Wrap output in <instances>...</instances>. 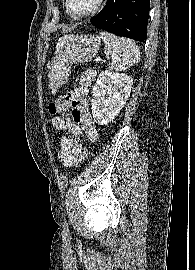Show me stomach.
<instances>
[{
  "instance_id": "1",
  "label": "stomach",
  "mask_w": 195,
  "mask_h": 270,
  "mask_svg": "<svg viewBox=\"0 0 195 270\" xmlns=\"http://www.w3.org/2000/svg\"><path fill=\"white\" fill-rule=\"evenodd\" d=\"M100 37L95 35H65L58 40L56 56L49 67V79L52 88L61 87L68 80L71 65L90 61L98 52Z\"/></svg>"
}]
</instances>
